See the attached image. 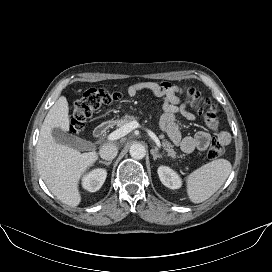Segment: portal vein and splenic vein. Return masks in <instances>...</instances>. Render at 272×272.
Listing matches in <instances>:
<instances>
[{"instance_id":"obj_1","label":"portal vein and splenic vein","mask_w":272,"mask_h":272,"mask_svg":"<svg viewBox=\"0 0 272 272\" xmlns=\"http://www.w3.org/2000/svg\"><path fill=\"white\" fill-rule=\"evenodd\" d=\"M141 127L140 124L136 121L133 120L125 125H123L122 127H120L119 129L113 131L112 133H110L107 136V140L108 141H115L120 139L121 137H124L125 135H127L128 133H130L132 130ZM146 132L148 133V135L151 137V139L155 142V144L157 145L158 148L161 147V143L160 140L158 139V137L149 129L146 128Z\"/></svg>"}]
</instances>
